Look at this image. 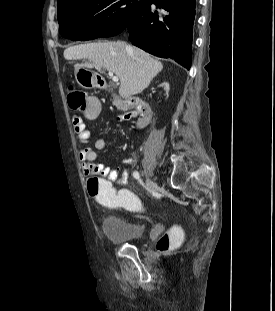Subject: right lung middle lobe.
<instances>
[{"label":"right lung middle lobe","mask_w":275,"mask_h":311,"mask_svg":"<svg viewBox=\"0 0 275 311\" xmlns=\"http://www.w3.org/2000/svg\"><path fill=\"white\" fill-rule=\"evenodd\" d=\"M151 3L152 0H70L58 5L59 33L71 40L87 34H95V38L117 35Z\"/></svg>","instance_id":"right-lung-middle-lobe-1"}]
</instances>
